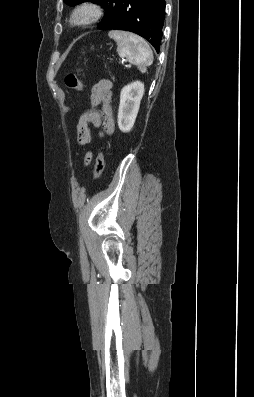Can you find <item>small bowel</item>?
I'll return each instance as SVG.
<instances>
[{"instance_id": "1", "label": "small bowel", "mask_w": 254, "mask_h": 397, "mask_svg": "<svg viewBox=\"0 0 254 397\" xmlns=\"http://www.w3.org/2000/svg\"><path fill=\"white\" fill-rule=\"evenodd\" d=\"M112 83L103 79L97 82L91 89L90 109L84 112L77 124L78 142L86 145L91 141L90 125L100 129V136L110 135L114 132L115 124L112 110ZM101 106V110L97 107ZM92 160V153L85 156L84 164L89 165Z\"/></svg>"}]
</instances>
